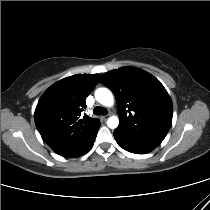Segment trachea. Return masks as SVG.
Returning a JSON list of instances; mask_svg holds the SVG:
<instances>
[{"instance_id":"trachea-1","label":"trachea","mask_w":210,"mask_h":210,"mask_svg":"<svg viewBox=\"0 0 210 210\" xmlns=\"http://www.w3.org/2000/svg\"><path fill=\"white\" fill-rule=\"evenodd\" d=\"M93 113L95 115H107L108 111L103 107L97 106L93 109Z\"/></svg>"}]
</instances>
